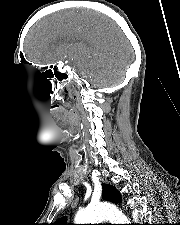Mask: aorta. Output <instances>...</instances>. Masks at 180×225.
Instances as JSON below:
<instances>
[{
	"instance_id": "obj_1",
	"label": "aorta",
	"mask_w": 180,
	"mask_h": 225,
	"mask_svg": "<svg viewBox=\"0 0 180 225\" xmlns=\"http://www.w3.org/2000/svg\"><path fill=\"white\" fill-rule=\"evenodd\" d=\"M110 221L112 224H129V220L114 205L101 203L88 205L75 216L76 224H98L101 221Z\"/></svg>"
}]
</instances>
